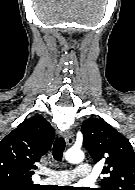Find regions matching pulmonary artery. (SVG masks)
I'll list each match as a JSON object with an SVG mask.
<instances>
[{"mask_svg":"<svg viewBox=\"0 0 135 190\" xmlns=\"http://www.w3.org/2000/svg\"><path fill=\"white\" fill-rule=\"evenodd\" d=\"M47 176L42 183L62 185L70 183L75 178H90L91 167L87 163H79L73 171L69 170H46L43 172Z\"/></svg>","mask_w":135,"mask_h":190,"instance_id":"e3ab8cb5","label":"pulmonary artery"}]
</instances>
